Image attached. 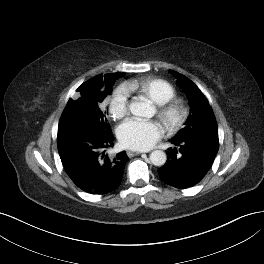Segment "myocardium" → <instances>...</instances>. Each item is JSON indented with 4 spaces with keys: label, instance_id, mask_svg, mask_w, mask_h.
<instances>
[{
    "label": "myocardium",
    "instance_id": "myocardium-1",
    "mask_svg": "<svg viewBox=\"0 0 264 264\" xmlns=\"http://www.w3.org/2000/svg\"><path fill=\"white\" fill-rule=\"evenodd\" d=\"M158 115L170 132L179 130L185 123L188 111L180 100H170L160 105Z\"/></svg>",
    "mask_w": 264,
    "mask_h": 264
}]
</instances>
